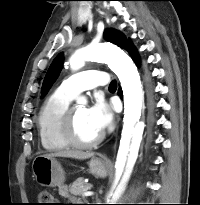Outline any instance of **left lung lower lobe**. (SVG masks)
Segmentation results:
<instances>
[{"label": "left lung lower lobe", "instance_id": "obj_1", "mask_svg": "<svg viewBox=\"0 0 200 205\" xmlns=\"http://www.w3.org/2000/svg\"><path fill=\"white\" fill-rule=\"evenodd\" d=\"M125 50H127L130 54V56L132 57V59L138 63L139 62V59H138V56H137V53H136V50L134 48V46L131 44L130 41H128V43L126 44V46L124 47ZM121 94V92H119ZM153 107V105H152Z\"/></svg>", "mask_w": 200, "mask_h": 205}]
</instances>
